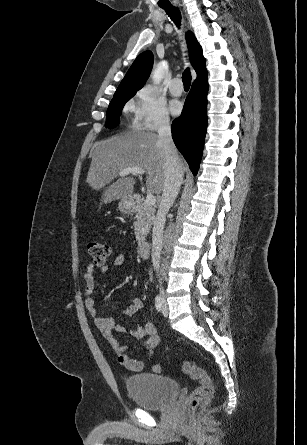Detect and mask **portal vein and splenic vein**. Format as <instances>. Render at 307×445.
Returning <instances> with one entry per match:
<instances>
[{
	"label": "portal vein and splenic vein",
	"instance_id": "1",
	"mask_svg": "<svg viewBox=\"0 0 307 445\" xmlns=\"http://www.w3.org/2000/svg\"><path fill=\"white\" fill-rule=\"evenodd\" d=\"M130 172H134V174H144L145 170L140 168V166H130V168H123V170H120L118 174L119 176H126V174H130ZM145 202L147 206H153V204H155L156 198L152 192H148V194H146Z\"/></svg>",
	"mask_w": 307,
	"mask_h": 445
}]
</instances>
